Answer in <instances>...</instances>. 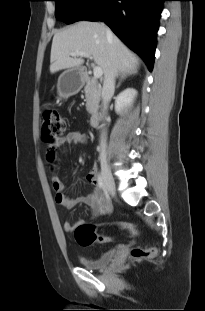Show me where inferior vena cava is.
<instances>
[{
	"instance_id": "602c4592",
	"label": "inferior vena cava",
	"mask_w": 205,
	"mask_h": 311,
	"mask_svg": "<svg viewBox=\"0 0 205 311\" xmlns=\"http://www.w3.org/2000/svg\"><path fill=\"white\" fill-rule=\"evenodd\" d=\"M107 37H112V32L110 29H107ZM117 65L114 56H111V63L109 67V71L104 76V83L102 88V100L104 107L107 106L108 101L112 98L115 91V78L117 76ZM102 151L106 150V133L102 131L101 134V143H100Z\"/></svg>"
}]
</instances>
